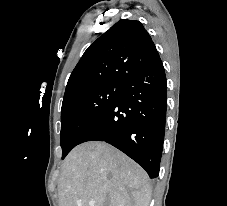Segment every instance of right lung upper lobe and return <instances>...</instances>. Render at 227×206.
<instances>
[{
    "mask_svg": "<svg viewBox=\"0 0 227 206\" xmlns=\"http://www.w3.org/2000/svg\"><path fill=\"white\" fill-rule=\"evenodd\" d=\"M160 59L142 23L123 19L85 51L71 73L64 98L106 82H124Z\"/></svg>",
    "mask_w": 227,
    "mask_h": 206,
    "instance_id": "right-lung-upper-lobe-1",
    "label": "right lung upper lobe"
}]
</instances>
